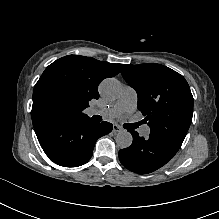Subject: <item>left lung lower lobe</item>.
Instances as JSON below:
<instances>
[{
	"label": "left lung lower lobe",
	"instance_id": "obj_1",
	"mask_svg": "<svg viewBox=\"0 0 219 219\" xmlns=\"http://www.w3.org/2000/svg\"><path fill=\"white\" fill-rule=\"evenodd\" d=\"M132 144L119 150V159L124 167L138 174H148L164 166L177 153L172 145L152 136L141 137L136 131H130Z\"/></svg>",
	"mask_w": 219,
	"mask_h": 219
}]
</instances>
